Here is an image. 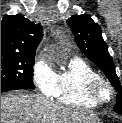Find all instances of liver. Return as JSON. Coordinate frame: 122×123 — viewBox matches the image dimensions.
Segmentation results:
<instances>
[{
  "mask_svg": "<svg viewBox=\"0 0 122 123\" xmlns=\"http://www.w3.org/2000/svg\"><path fill=\"white\" fill-rule=\"evenodd\" d=\"M1 123H101L92 112L18 90L1 95Z\"/></svg>",
  "mask_w": 122,
  "mask_h": 123,
  "instance_id": "obj_1",
  "label": "liver"
}]
</instances>
